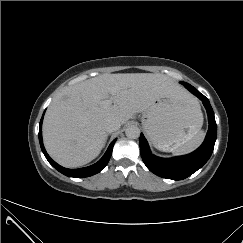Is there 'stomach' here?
I'll list each match as a JSON object with an SVG mask.
<instances>
[{
  "label": "stomach",
  "mask_w": 243,
  "mask_h": 243,
  "mask_svg": "<svg viewBox=\"0 0 243 243\" xmlns=\"http://www.w3.org/2000/svg\"><path fill=\"white\" fill-rule=\"evenodd\" d=\"M203 122L200 106L193 97L182 101L157 100L142 116V125L153 145L163 151L190 140Z\"/></svg>",
  "instance_id": "stomach-1"
}]
</instances>
